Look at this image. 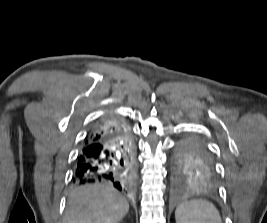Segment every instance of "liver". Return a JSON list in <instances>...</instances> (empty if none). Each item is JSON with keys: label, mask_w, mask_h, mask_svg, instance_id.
<instances>
[{"label": "liver", "mask_w": 267, "mask_h": 223, "mask_svg": "<svg viewBox=\"0 0 267 223\" xmlns=\"http://www.w3.org/2000/svg\"><path fill=\"white\" fill-rule=\"evenodd\" d=\"M128 211V202L117 191L88 184L70 196L63 223H118Z\"/></svg>", "instance_id": "1"}]
</instances>
